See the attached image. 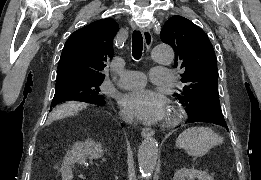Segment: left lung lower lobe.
<instances>
[{
	"label": "left lung lower lobe",
	"instance_id": "left-lung-lower-lobe-1",
	"mask_svg": "<svg viewBox=\"0 0 261 180\" xmlns=\"http://www.w3.org/2000/svg\"><path fill=\"white\" fill-rule=\"evenodd\" d=\"M187 123H194V122H210L213 124L220 125L228 130L227 124L224 120L223 115L216 114L214 112H203L201 114H188Z\"/></svg>",
	"mask_w": 261,
	"mask_h": 180
}]
</instances>
